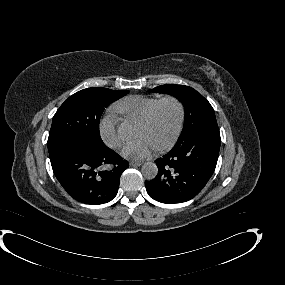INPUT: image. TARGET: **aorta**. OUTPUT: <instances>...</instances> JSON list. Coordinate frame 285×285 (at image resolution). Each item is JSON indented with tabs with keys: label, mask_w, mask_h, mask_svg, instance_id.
I'll return each instance as SVG.
<instances>
[{
	"label": "aorta",
	"mask_w": 285,
	"mask_h": 285,
	"mask_svg": "<svg viewBox=\"0 0 285 285\" xmlns=\"http://www.w3.org/2000/svg\"><path fill=\"white\" fill-rule=\"evenodd\" d=\"M120 132L122 129L119 130ZM142 175L147 179V180H152L154 179L157 174H158V167L155 163L153 162H146L143 164L141 168Z\"/></svg>",
	"instance_id": "aorta-1"
}]
</instances>
